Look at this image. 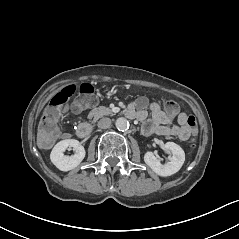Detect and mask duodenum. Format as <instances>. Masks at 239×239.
I'll use <instances>...</instances> for the list:
<instances>
[{"label": "duodenum", "instance_id": "obj_1", "mask_svg": "<svg viewBox=\"0 0 239 239\" xmlns=\"http://www.w3.org/2000/svg\"><path fill=\"white\" fill-rule=\"evenodd\" d=\"M93 127L90 123L84 122L77 127V135L80 138H87L91 135Z\"/></svg>", "mask_w": 239, "mask_h": 239}]
</instances>
